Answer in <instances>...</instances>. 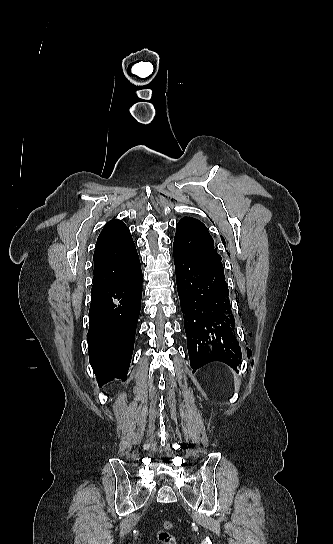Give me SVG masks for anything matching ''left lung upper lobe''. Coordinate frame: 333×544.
<instances>
[{
  "label": "left lung upper lobe",
  "mask_w": 333,
  "mask_h": 544,
  "mask_svg": "<svg viewBox=\"0 0 333 544\" xmlns=\"http://www.w3.org/2000/svg\"><path fill=\"white\" fill-rule=\"evenodd\" d=\"M173 247L174 250L181 251L192 260L215 269L224 276L222 258L214 248L213 238L201 221L192 217L182 218L176 226Z\"/></svg>",
  "instance_id": "5c2ea615"
}]
</instances>
